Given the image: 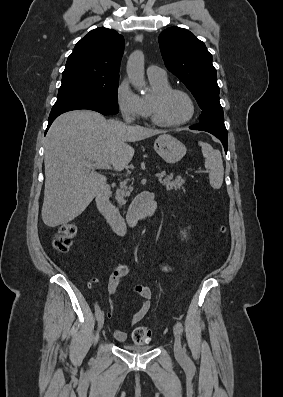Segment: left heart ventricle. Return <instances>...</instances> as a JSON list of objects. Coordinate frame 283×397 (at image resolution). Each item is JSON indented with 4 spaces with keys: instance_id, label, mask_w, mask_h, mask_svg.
Returning <instances> with one entry per match:
<instances>
[{
    "instance_id": "1",
    "label": "left heart ventricle",
    "mask_w": 283,
    "mask_h": 397,
    "mask_svg": "<svg viewBox=\"0 0 283 397\" xmlns=\"http://www.w3.org/2000/svg\"><path fill=\"white\" fill-rule=\"evenodd\" d=\"M190 112V102L180 93L171 94L161 107V117L166 122L181 121L187 118Z\"/></svg>"
}]
</instances>
